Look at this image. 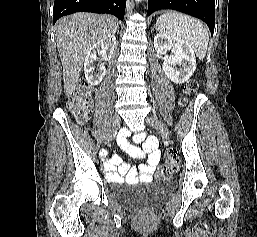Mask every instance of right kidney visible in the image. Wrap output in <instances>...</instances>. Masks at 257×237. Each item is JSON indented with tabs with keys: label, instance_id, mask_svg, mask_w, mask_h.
Returning <instances> with one entry per match:
<instances>
[{
	"label": "right kidney",
	"instance_id": "1",
	"mask_svg": "<svg viewBox=\"0 0 257 237\" xmlns=\"http://www.w3.org/2000/svg\"><path fill=\"white\" fill-rule=\"evenodd\" d=\"M116 46L115 35H108L100 41L96 42L87 52L84 60V72L88 83L92 86L98 85L105 76L106 69L103 65L95 72L94 62L97 54L101 55L103 60L110 61Z\"/></svg>",
	"mask_w": 257,
	"mask_h": 237
}]
</instances>
